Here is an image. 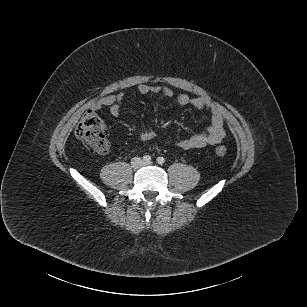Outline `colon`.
I'll return each mask as SVG.
<instances>
[{
  "label": "colon",
  "instance_id": "colon-1",
  "mask_svg": "<svg viewBox=\"0 0 307 307\" xmlns=\"http://www.w3.org/2000/svg\"><path fill=\"white\" fill-rule=\"evenodd\" d=\"M76 135L82 143L92 147L98 153L104 154L109 149V142L105 136L104 123L94 108L85 113L77 127ZM216 154L219 157L225 156V147L218 146L216 148Z\"/></svg>",
  "mask_w": 307,
  "mask_h": 307
}]
</instances>
